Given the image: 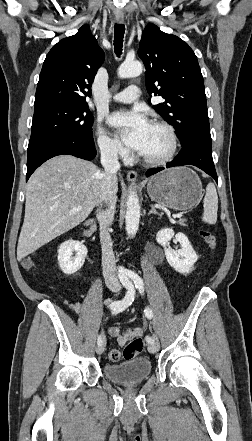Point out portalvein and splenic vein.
Wrapping results in <instances>:
<instances>
[{
  "label": "portal vein and splenic vein",
  "instance_id": "1",
  "mask_svg": "<svg viewBox=\"0 0 252 441\" xmlns=\"http://www.w3.org/2000/svg\"><path fill=\"white\" fill-rule=\"evenodd\" d=\"M81 209H82V207H78V208H76L75 210L79 211V210H81ZM182 216H183V214H182V213H179V214L174 215L173 218L181 219Z\"/></svg>",
  "mask_w": 252,
  "mask_h": 441
}]
</instances>
